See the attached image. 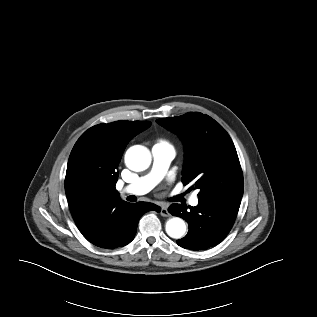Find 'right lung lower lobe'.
Returning <instances> with one entry per match:
<instances>
[{"instance_id": "obj_1", "label": "right lung lower lobe", "mask_w": 317, "mask_h": 317, "mask_svg": "<svg viewBox=\"0 0 317 317\" xmlns=\"http://www.w3.org/2000/svg\"><path fill=\"white\" fill-rule=\"evenodd\" d=\"M72 217L82 235L100 248L114 249L130 243L136 234L140 217L159 206L121 199L104 201L99 196L86 195L78 190L67 197Z\"/></svg>"}]
</instances>
